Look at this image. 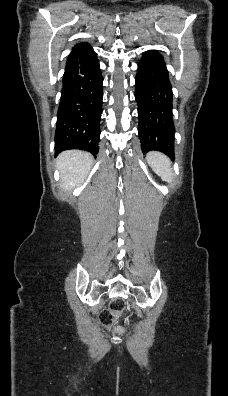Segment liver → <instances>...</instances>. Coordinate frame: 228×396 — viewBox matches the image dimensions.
<instances>
[{"label":"liver","instance_id":"liver-1","mask_svg":"<svg viewBox=\"0 0 228 396\" xmlns=\"http://www.w3.org/2000/svg\"><path fill=\"white\" fill-rule=\"evenodd\" d=\"M93 162L88 152L68 150L57 158V168L60 171V186L70 191L79 186L87 177Z\"/></svg>","mask_w":228,"mask_h":396}]
</instances>
